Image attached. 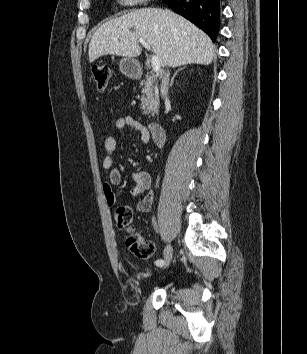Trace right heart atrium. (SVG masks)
<instances>
[{
    "label": "right heart atrium",
    "instance_id": "d8ad5b80",
    "mask_svg": "<svg viewBox=\"0 0 307 354\" xmlns=\"http://www.w3.org/2000/svg\"><path fill=\"white\" fill-rule=\"evenodd\" d=\"M147 0H120L123 5L135 6L146 2Z\"/></svg>",
    "mask_w": 307,
    "mask_h": 354
}]
</instances>
